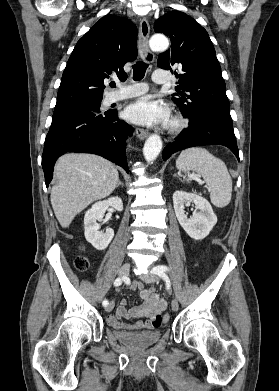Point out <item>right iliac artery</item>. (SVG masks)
Wrapping results in <instances>:
<instances>
[{"label":"right iliac artery","mask_w":279,"mask_h":391,"mask_svg":"<svg viewBox=\"0 0 279 391\" xmlns=\"http://www.w3.org/2000/svg\"><path fill=\"white\" fill-rule=\"evenodd\" d=\"M121 283H122V279L121 278H117L114 281V286H119V285H121ZM102 304H103V306L106 307L109 304V302L107 300H104Z\"/></svg>","instance_id":"obj_1"}]
</instances>
